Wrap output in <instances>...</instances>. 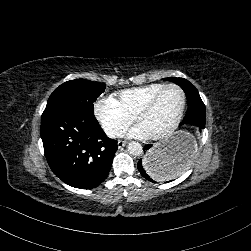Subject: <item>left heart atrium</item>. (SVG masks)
<instances>
[{
	"mask_svg": "<svg viewBox=\"0 0 251 251\" xmlns=\"http://www.w3.org/2000/svg\"><path fill=\"white\" fill-rule=\"evenodd\" d=\"M124 134L128 137L138 139H149L155 135L154 131L144 122H139L128 129Z\"/></svg>",
	"mask_w": 251,
	"mask_h": 251,
	"instance_id": "obj_1",
	"label": "left heart atrium"
}]
</instances>
